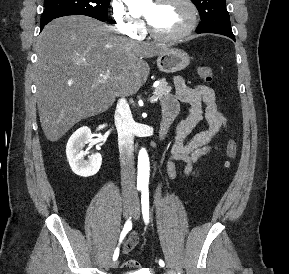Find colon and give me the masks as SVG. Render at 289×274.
<instances>
[{"instance_id": "1", "label": "colon", "mask_w": 289, "mask_h": 274, "mask_svg": "<svg viewBox=\"0 0 289 274\" xmlns=\"http://www.w3.org/2000/svg\"><path fill=\"white\" fill-rule=\"evenodd\" d=\"M197 71H198L199 77L203 81L211 82L213 80L214 71L211 66L209 65L199 66ZM236 154H237V144L235 140L230 139L226 145V155H227V160L225 161L226 167H229L231 165L232 161L236 157ZM122 266L123 268L128 269V270L142 271V272L150 274L149 272L145 270H139L140 264L137 260H134V259L126 260Z\"/></svg>"}]
</instances>
